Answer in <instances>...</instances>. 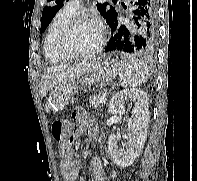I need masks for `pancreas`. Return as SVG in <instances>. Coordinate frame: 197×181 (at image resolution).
<instances>
[{
    "label": "pancreas",
    "instance_id": "obj_1",
    "mask_svg": "<svg viewBox=\"0 0 197 181\" xmlns=\"http://www.w3.org/2000/svg\"><path fill=\"white\" fill-rule=\"evenodd\" d=\"M102 96L101 95H94L92 97L89 98V105L97 108L100 106V100H101Z\"/></svg>",
    "mask_w": 197,
    "mask_h": 181
}]
</instances>
